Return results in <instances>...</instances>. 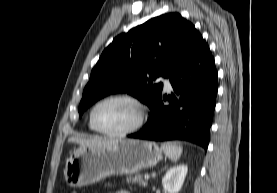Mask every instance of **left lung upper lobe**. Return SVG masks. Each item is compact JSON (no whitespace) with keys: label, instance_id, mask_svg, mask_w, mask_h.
I'll list each match as a JSON object with an SVG mask.
<instances>
[{"label":"left lung upper lobe","instance_id":"left-lung-upper-lobe-1","mask_svg":"<svg viewBox=\"0 0 277 193\" xmlns=\"http://www.w3.org/2000/svg\"><path fill=\"white\" fill-rule=\"evenodd\" d=\"M200 33L178 13L163 14L118 35L93 68L79 105V115L98 99L127 92L150 109L161 97L159 76L169 77L188 55Z\"/></svg>","mask_w":277,"mask_h":193}]
</instances>
